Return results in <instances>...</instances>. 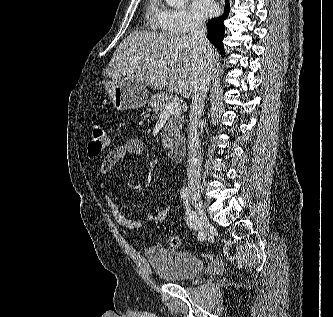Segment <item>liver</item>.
Wrapping results in <instances>:
<instances>
[{"instance_id":"6515ba94","label":"liver","mask_w":333,"mask_h":317,"mask_svg":"<svg viewBox=\"0 0 333 317\" xmlns=\"http://www.w3.org/2000/svg\"><path fill=\"white\" fill-rule=\"evenodd\" d=\"M211 49L215 67L219 54ZM205 58L207 54L190 35L135 31L114 51L106 76L131 77L154 89L165 88L188 98L206 71Z\"/></svg>"}]
</instances>
